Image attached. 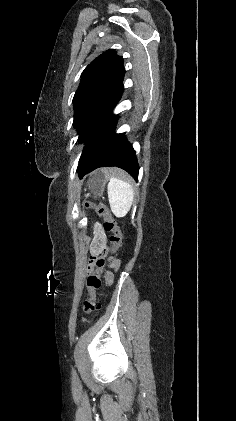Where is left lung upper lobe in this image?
<instances>
[{"instance_id": "1", "label": "left lung upper lobe", "mask_w": 236, "mask_h": 421, "mask_svg": "<svg viewBox=\"0 0 236 421\" xmlns=\"http://www.w3.org/2000/svg\"><path fill=\"white\" fill-rule=\"evenodd\" d=\"M123 80V59L112 49L95 58L84 69L73 98V125L79 133V142L87 141L100 117L120 98Z\"/></svg>"}]
</instances>
